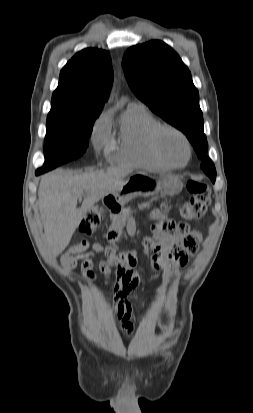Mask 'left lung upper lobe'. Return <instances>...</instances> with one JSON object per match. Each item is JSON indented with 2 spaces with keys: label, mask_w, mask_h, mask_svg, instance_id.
<instances>
[{
  "label": "left lung upper lobe",
  "mask_w": 253,
  "mask_h": 413,
  "mask_svg": "<svg viewBox=\"0 0 253 413\" xmlns=\"http://www.w3.org/2000/svg\"><path fill=\"white\" fill-rule=\"evenodd\" d=\"M122 66L135 95L187 136L203 160L202 170L215 182L214 164L206 156L208 144L198 90L178 54L164 42L152 40L130 47L124 54Z\"/></svg>",
  "instance_id": "left-lung-upper-lobe-1"
}]
</instances>
